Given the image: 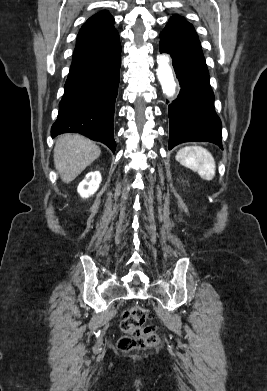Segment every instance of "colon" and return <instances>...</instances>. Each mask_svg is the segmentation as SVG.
Here are the masks:
<instances>
[{
	"label": "colon",
	"instance_id": "colon-1",
	"mask_svg": "<svg viewBox=\"0 0 267 391\" xmlns=\"http://www.w3.org/2000/svg\"><path fill=\"white\" fill-rule=\"evenodd\" d=\"M152 316L150 310L137 305L124 312L119 324L124 333L117 342L119 352L126 353L157 345L159 341L157 333L151 326L144 325L145 321Z\"/></svg>",
	"mask_w": 267,
	"mask_h": 391
}]
</instances>
